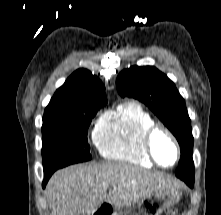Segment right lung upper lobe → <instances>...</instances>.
<instances>
[{
    "mask_svg": "<svg viewBox=\"0 0 221 215\" xmlns=\"http://www.w3.org/2000/svg\"><path fill=\"white\" fill-rule=\"evenodd\" d=\"M104 88L97 76L78 69L57 89L48 106L101 104L107 102Z\"/></svg>",
    "mask_w": 221,
    "mask_h": 215,
    "instance_id": "cb5924a9",
    "label": "right lung upper lobe"
}]
</instances>
